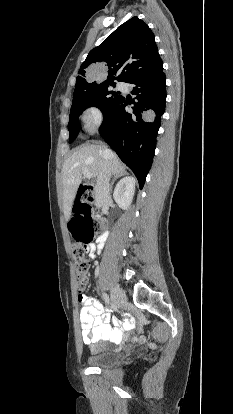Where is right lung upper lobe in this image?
Here are the masks:
<instances>
[{
	"label": "right lung upper lobe",
	"instance_id": "cb5924a9",
	"mask_svg": "<svg viewBox=\"0 0 233 414\" xmlns=\"http://www.w3.org/2000/svg\"><path fill=\"white\" fill-rule=\"evenodd\" d=\"M94 64L104 65L109 73L106 80L93 81L91 69ZM162 67L154 34L144 21L133 17L89 52L79 69L73 96L102 83L128 82L135 77L150 75ZM119 70H122L120 75L114 77Z\"/></svg>",
	"mask_w": 233,
	"mask_h": 414
}]
</instances>
